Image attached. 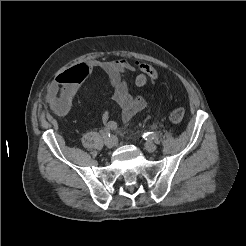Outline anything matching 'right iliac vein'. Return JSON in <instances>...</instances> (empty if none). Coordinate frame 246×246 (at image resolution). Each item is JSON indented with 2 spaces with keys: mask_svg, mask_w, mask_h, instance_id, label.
Masks as SVG:
<instances>
[{
  "mask_svg": "<svg viewBox=\"0 0 246 246\" xmlns=\"http://www.w3.org/2000/svg\"><path fill=\"white\" fill-rule=\"evenodd\" d=\"M105 145L107 148L111 149L114 147V139L113 138H106L105 141H104Z\"/></svg>",
  "mask_w": 246,
  "mask_h": 246,
  "instance_id": "obj_1",
  "label": "right iliac vein"
}]
</instances>
